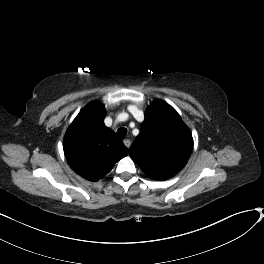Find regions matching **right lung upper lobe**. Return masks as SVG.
I'll use <instances>...</instances> for the list:
<instances>
[{
  "label": "right lung upper lobe",
  "instance_id": "obj_1",
  "mask_svg": "<svg viewBox=\"0 0 264 264\" xmlns=\"http://www.w3.org/2000/svg\"><path fill=\"white\" fill-rule=\"evenodd\" d=\"M105 107L89 103L74 119L64 137V154L70 167L81 177L97 181L111 171L128 149L104 125Z\"/></svg>",
  "mask_w": 264,
  "mask_h": 264
}]
</instances>
